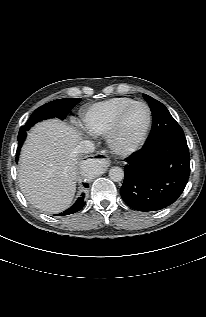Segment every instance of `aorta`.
I'll list each match as a JSON object with an SVG mask.
<instances>
[{
    "label": "aorta",
    "mask_w": 206,
    "mask_h": 317,
    "mask_svg": "<svg viewBox=\"0 0 206 317\" xmlns=\"http://www.w3.org/2000/svg\"><path fill=\"white\" fill-rule=\"evenodd\" d=\"M99 163L95 160L87 161L82 166L83 174L86 177H94L99 173ZM109 177L114 182H119L124 179V171L120 167H112L109 170Z\"/></svg>",
    "instance_id": "762f6f07"
}]
</instances>
